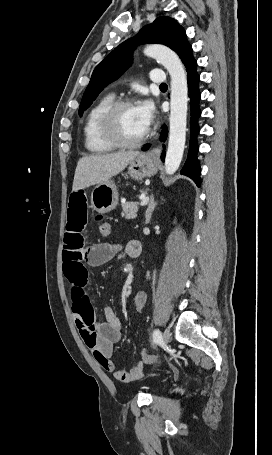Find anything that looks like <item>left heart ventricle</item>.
Here are the masks:
<instances>
[{
    "mask_svg": "<svg viewBox=\"0 0 272 455\" xmlns=\"http://www.w3.org/2000/svg\"><path fill=\"white\" fill-rule=\"evenodd\" d=\"M118 131L126 141H133L145 134L136 106L124 108L118 116Z\"/></svg>",
    "mask_w": 272,
    "mask_h": 455,
    "instance_id": "left-heart-ventricle-1",
    "label": "left heart ventricle"
}]
</instances>
